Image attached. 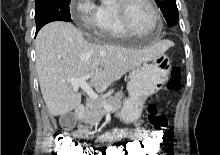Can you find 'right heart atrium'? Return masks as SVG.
<instances>
[{
  "label": "right heart atrium",
  "instance_id": "right-heart-atrium-1",
  "mask_svg": "<svg viewBox=\"0 0 220 155\" xmlns=\"http://www.w3.org/2000/svg\"><path fill=\"white\" fill-rule=\"evenodd\" d=\"M72 17L88 30L99 32L102 27L100 7L93 0H77L72 10Z\"/></svg>",
  "mask_w": 220,
  "mask_h": 155
}]
</instances>
